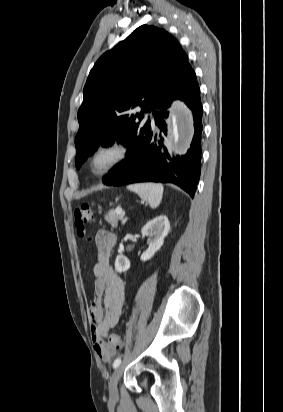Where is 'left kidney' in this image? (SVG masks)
Segmentation results:
<instances>
[{
  "label": "left kidney",
  "instance_id": "1",
  "mask_svg": "<svg viewBox=\"0 0 283 412\" xmlns=\"http://www.w3.org/2000/svg\"><path fill=\"white\" fill-rule=\"evenodd\" d=\"M170 230V223L165 215H160L149 221L142 229L144 237H148V249L141 255L142 261L150 260L154 254L161 248L165 237ZM131 264L127 257L118 255L115 260V270L119 273L125 272Z\"/></svg>",
  "mask_w": 283,
  "mask_h": 412
}]
</instances>
